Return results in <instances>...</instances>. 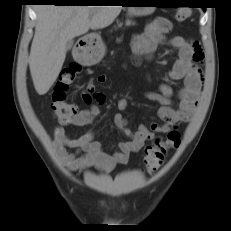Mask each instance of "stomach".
<instances>
[{
  "instance_id": "obj_1",
  "label": "stomach",
  "mask_w": 231,
  "mask_h": 231,
  "mask_svg": "<svg viewBox=\"0 0 231 231\" xmlns=\"http://www.w3.org/2000/svg\"><path fill=\"white\" fill-rule=\"evenodd\" d=\"M136 4H156L154 0H136L132 1ZM156 7H128V14L130 16H145L151 14ZM94 43V44H93ZM90 43L82 53L81 61L85 65H93L98 63L105 54V45L101 39H96L95 42Z\"/></svg>"
}]
</instances>
